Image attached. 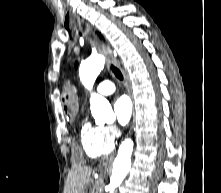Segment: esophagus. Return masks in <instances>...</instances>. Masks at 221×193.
I'll return each mask as SVG.
<instances>
[{
	"instance_id": "1",
	"label": "esophagus",
	"mask_w": 221,
	"mask_h": 193,
	"mask_svg": "<svg viewBox=\"0 0 221 193\" xmlns=\"http://www.w3.org/2000/svg\"><path fill=\"white\" fill-rule=\"evenodd\" d=\"M75 16H72L70 15L69 16V21H65V26L67 24V22L69 23V26H72V24L74 23L75 24ZM77 21H78V24L80 25V19L77 18ZM86 28L87 30H92L93 31V36H94V40L97 44L101 45L102 49L104 50V52L111 58L112 62L117 66V67H120V64L118 62V60L116 59V56L115 54L113 53L112 49L110 48V46L108 44H106L105 42L101 41L99 39V37L97 36V34L95 33V31L92 29V26L88 23H86ZM123 77H124V82L125 84H127V81H126V76L125 74L123 73ZM128 93L132 99V104L134 105L136 102L133 100V97L131 95V92H130V89L128 88ZM134 107V106H133ZM133 115H134V110H133ZM132 127L135 125L133 122L130 124ZM130 128L129 130L132 132L134 129L133 128Z\"/></svg>"
}]
</instances>
